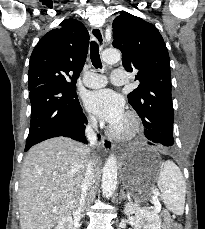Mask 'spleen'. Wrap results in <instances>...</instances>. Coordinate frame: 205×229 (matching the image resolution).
<instances>
[{"mask_svg":"<svg viewBox=\"0 0 205 229\" xmlns=\"http://www.w3.org/2000/svg\"><path fill=\"white\" fill-rule=\"evenodd\" d=\"M157 186L161 193L154 192V196H159L169 211L182 215L185 206L186 184L181 170L171 160L164 163L163 170L157 178Z\"/></svg>","mask_w":205,"mask_h":229,"instance_id":"obj_1","label":"spleen"}]
</instances>
